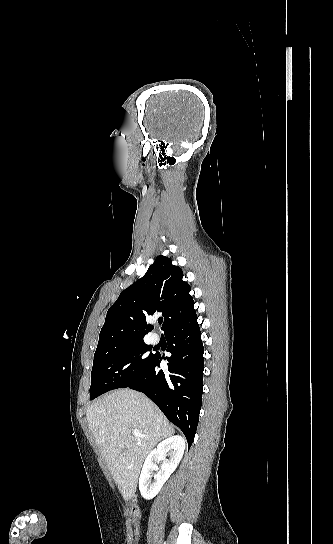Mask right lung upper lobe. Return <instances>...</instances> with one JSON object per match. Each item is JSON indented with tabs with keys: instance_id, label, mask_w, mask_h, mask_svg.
<instances>
[{
	"instance_id": "obj_1",
	"label": "right lung upper lobe",
	"mask_w": 333,
	"mask_h": 544,
	"mask_svg": "<svg viewBox=\"0 0 333 544\" xmlns=\"http://www.w3.org/2000/svg\"><path fill=\"white\" fill-rule=\"evenodd\" d=\"M182 278L181 268L172 265L168 257L158 256L145 275L122 291L107 311L99 342L143 338L153 329L147 325L146 316L156 310L163 312L164 331L196 313L191 287Z\"/></svg>"
}]
</instances>
